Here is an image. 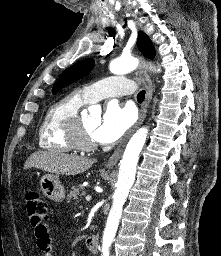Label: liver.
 Masks as SVG:
<instances>
[{"mask_svg": "<svg viewBox=\"0 0 221 256\" xmlns=\"http://www.w3.org/2000/svg\"><path fill=\"white\" fill-rule=\"evenodd\" d=\"M93 163L92 159L59 151H36L26 160L24 169L35 167L49 173L77 175L88 170Z\"/></svg>", "mask_w": 221, "mask_h": 256, "instance_id": "1", "label": "liver"}]
</instances>
